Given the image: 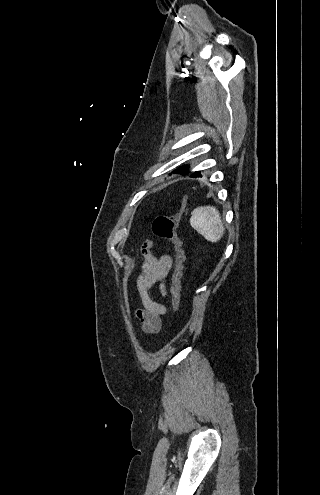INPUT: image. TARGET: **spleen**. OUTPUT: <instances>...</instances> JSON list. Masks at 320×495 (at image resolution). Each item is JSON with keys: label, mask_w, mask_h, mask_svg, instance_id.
<instances>
[{"label": "spleen", "mask_w": 320, "mask_h": 495, "mask_svg": "<svg viewBox=\"0 0 320 495\" xmlns=\"http://www.w3.org/2000/svg\"><path fill=\"white\" fill-rule=\"evenodd\" d=\"M190 224L210 242H218L225 233L220 213L214 206H201L194 209Z\"/></svg>", "instance_id": "3e777b00"}]
</instances>
